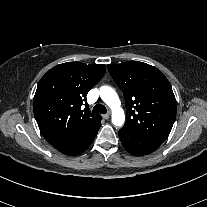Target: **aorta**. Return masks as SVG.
Segmentation results:
<instances>
[{"instance_id":"1","label":"aorta","mask_w":207,"mask_h":207,"mask_svg":"<svg viewBox=\"0 0 207 207\" xmlns=\"http://www.w3.org/2000/svg\"><path fill=\"white\" fill-rule=\"evenodd\" d=\"M100 97L112 110V123L121 127L125 122V115L120 107L121 102L115 89L110 86H102L100 88Z\"/></svg>"}]
</instances>
